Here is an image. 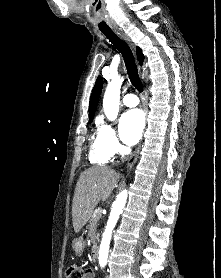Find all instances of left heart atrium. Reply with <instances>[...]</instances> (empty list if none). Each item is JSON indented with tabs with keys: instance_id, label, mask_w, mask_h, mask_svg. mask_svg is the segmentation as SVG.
<instances>
[{
	"instance_id": "1",
	"label": "left heart atrium",
	"mask_w": 221,
	"mask_h": 278,
	"mask_svg": "<svg viewBox=\"0 0 221 278\" xmlns=\"http://www.w3.org/2000/svg\"><path fill=\"white\" fill-rule=\"evenodd\" d=\"M145 125L144 115L141 110L133 109L125 112L120 119V136L125 144H136L143 132Z\"/></svg>"
}]
</instances>
